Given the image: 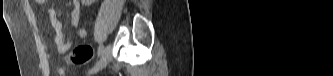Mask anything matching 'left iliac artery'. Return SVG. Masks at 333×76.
Masks as SVG:
<instances>
[{
  "instance_id": "44dca946",
  "label": "left iliac artery",
  "mask_w": 333,
  "mask_h": 76,
  "mask_svg": "<svg viewBox=\"0 0 333 76\" xmlns=\"http://www.w3.org/2000/svg\"><path fill=\"white\" fill-rule=\"evenodd\" d=\"M102 52H103V45H99L98 51H97L98 57L101 56Z\"/></svg>"
}]
</instances>
